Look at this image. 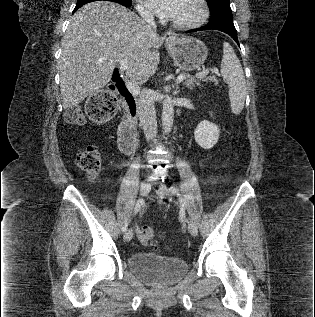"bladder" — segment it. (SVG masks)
Instances as JSON below:
<instances>
[{"mask_svg":"<svg viewBox=\"0 0 315 317\" xmlns=\"http://www.w3.org/2000/svg\"><path fill=\"white\" fill-rule=\"evenodd\" d=\"M127 265L143 282L160 287L176 283L188 270V264L183 259L147 252L131 254L127 259Z\"/></svg>","mask_w":315,"mask_h":317,"instance_id":"obj_1","label":"bladder"}]
</instances>
